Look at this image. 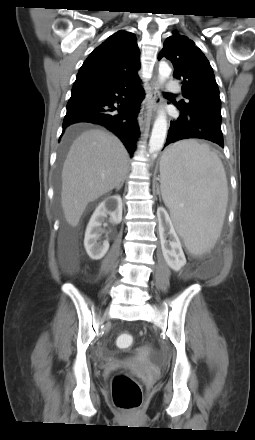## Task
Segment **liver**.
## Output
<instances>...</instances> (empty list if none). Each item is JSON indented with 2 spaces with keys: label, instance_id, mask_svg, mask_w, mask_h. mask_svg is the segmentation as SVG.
I'll return each instance as SVG.
<instances>
[{
  "label": "liver",
  "instance_id": "6515ba94",
  "mask_svg": "<svg viewBox=\"0 0 255 440\" xmlns=\"http://www.w3.org/2000/svg\"><path fill=\"white\" fill-rule=\"evenodd\" d=\"M129 154L122 142L101 129L84 131L73 142L62 169L61 206L76 227L88 203L113 190L124 180ZM168 167L161 162L160 171Z\"/></svg>",
  "mask_w": 255,
  "mask_h": 440
}]
</instances>
